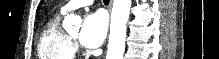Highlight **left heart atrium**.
Returning a JSON list of instances; mask_svg holds the SVG:
<instances>
[{
	"instance_id": "obj_1",
	"label": "left heart atrium",
	"mask_w": 219,
	"mask_h": 59,
	"mask_svg": "<svg viewBox=\"0 0 219 59\" xmlns=\"http://www.w3.org/2000/svg\"><path fill=\"white\" fill-rule=\"evenodd\" d=\"M106 33V16L100 11L90 13L84 18L79 36L80 42L88 48L98 47L103 43Z\"/></svg>"
}]
</instances>
